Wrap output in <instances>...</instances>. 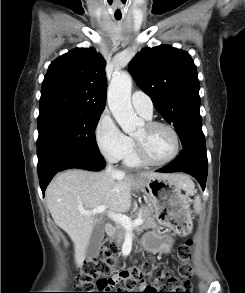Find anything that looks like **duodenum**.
Instances as JSON below:
<instances>
[{
    "instance_id": "410a0bca",
    "label": "duodenum",
    "mask_w": 245,
    "mask_h": 293,
    "mask_svg": "<svg viewBox=\"0 0 245 293\" xmlns=\"http://www.w3.org/2000/svg\"><path fill=\"white\" fill-rule=\"evenodd\" d=\"M105 232H106V234L109 235V236L113 235V232H114V230H113V226H112L111 224H107V225L105 226Z\"/></svg>"
}]
</instances>
